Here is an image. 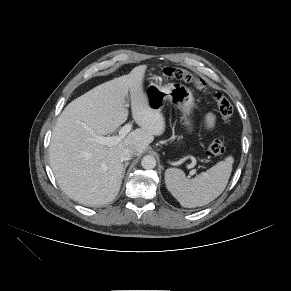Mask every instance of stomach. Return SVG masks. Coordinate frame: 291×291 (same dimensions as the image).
Wrapping results in <instances>:
<instances>
[{
  "mask_svg": "<svg viewBox=\"0 0 291 291\" xmlns=\"http://www.w3.org/2000/svg\"><path fill=\"white\" fill-rule=\"evenodd\" d=\"M145 96L150 108L156 111H161L169 101L183 113L185 125L192 130V122L188 119V115L194 107V97L187 86L181 83H169L165 86L151 83L145 91Z\"/></svg>",
  "mask_w": 291,
  "mask_h": 291,
  "instance_id": "obj_1",
  "label": "stomach"
}]
</instances>
